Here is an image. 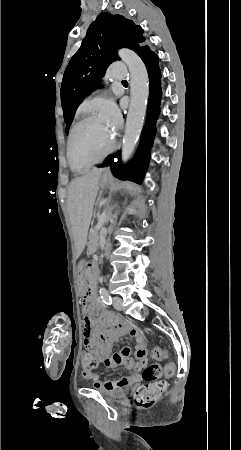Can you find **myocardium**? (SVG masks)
Returning <instances> with one entry per match:
<instances>
[{
	"instance_id": "f54148a6",
	"label": "myocardium",
	"mask_w": 241,
	"mask_h": 450,
	"mask_svg": "<svg viewBox=\"0 0 241 450\" xmlns=\"http://www.w3.org/2000/svg\"><path fill=\"white\" fill-rule=\"evenodd\" d=\"M81 117L80 116H73V121H80ZM78 127V122H73V127L70 130V136L68 137V144H67V157H69V162H74V157L73 156V144H75L76 140H77V132H74L75 129ZM116 147V146H115ZM104 157H108V153H104ZM98 162H102V160H97Z\"/></svg>"
}]
</instances>
